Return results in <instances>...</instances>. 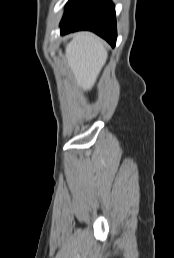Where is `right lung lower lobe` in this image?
Masks as SVG:
<instances>
[{
    "mask_svg": "<svg viewBox=\"0 0 174 258\" xmlns=\"http://www.w3.org/2000/svg\"><path fill=\"white\" fill-rule=\"evenodd\" d=\"M61 34L90 30L116 44L115 6L111 0H70L60 23Z\"/></svg>",
    "mask_w": 174,
    "mask_h": 258,
    "instance_id": "right-lung-lower-lobe-1",
    "label": "right lung lower lobe"
}]
</instances>
